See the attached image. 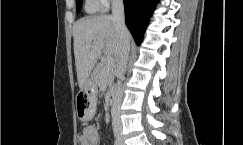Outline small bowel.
I'll list each match as a JSON object with an SVG mask.
<instances>
[{
	"label": "small bowel",
	"mask_w": 243,
	"mask_h": 145,
	"mask_svg": "<svg viewBox=\"0 0 243 145\" xmlns=\"http://www.w3.org/2000/svg\"><path fill=\"white\" fill-rule=\"evenodd\" d=\"M99 141L98 131L92 126L84 128L78 138L79 145H99Z\"/></svg>",
	"instance_id": "1"
}]
</instances>
